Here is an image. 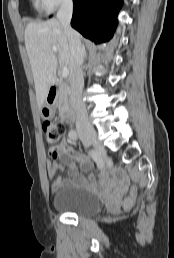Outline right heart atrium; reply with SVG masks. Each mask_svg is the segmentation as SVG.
<instances>
[{"label": "right heart atrium", "mask_w": 174, "mask_h": 258, "mask_svg": "<svg viewBox=\"0 0 174 258\" xmlns=\"http://www.w3.org/2000/svg\"><path fill=\"white\" fill-rule=\"evenodd\" d=\"M70 1L71 0H38V3L45 12L51 13L61 5L66 4Z\"/></svg>", "instance_id": "obj_1"}]
</instances>
